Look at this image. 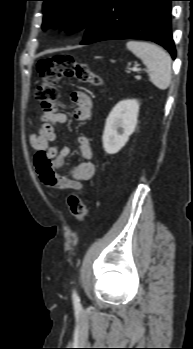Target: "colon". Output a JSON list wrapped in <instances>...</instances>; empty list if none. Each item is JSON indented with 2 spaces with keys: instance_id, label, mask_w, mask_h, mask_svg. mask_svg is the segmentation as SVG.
Wrapping results in <instances>:
<instances>
[{
  "instance_id": "colon-1",
  "label": "colon",
  "mask_w": 193,
  "mask_h": 349,
  "mask_svg": "<svg viewBox=\"0 0 193 349\" xmlns=\"http://www.w3.org/2000/svg\"><path fill=\"white\" fill-rule=\"evenodd\" d=\"M41 84L36 90V100L43 112L54 111V105L59 98L58 82L63 78H75L80 82L95 86L102 84L99 75L92 72L84 63L76 61L70 55L59 54L52 58L41 60L37 64ZM68 206L78 222H82L87 214L83 199L77 194H70Z\"/></svg>"
}]
</instances>
